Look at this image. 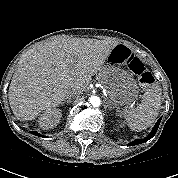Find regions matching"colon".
<instances>
[{
  "instance_id": "colon-1",
  "label": "colon",
  "mask_w": 178,
  "mask_h": 178,
  "mask_svg": "<svg viewBox=\"0 0 178 178\" xmlns=\"http://www.w3.org/2000/svg\"><path fill=\"white\" fill-rule=\"evenodd\" d=\"M129 67L138 76L142 85L148 86L154 82L152 75L138 58H134Z\"/></svg>"
}]
</instances>
